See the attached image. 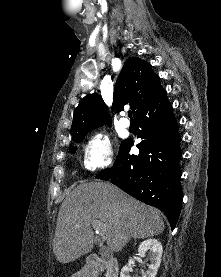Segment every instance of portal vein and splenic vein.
Listing matches in <instances>:
<instances>
[{
    "instance_id": "1",
    "label": "portal vein and splenic vein",
    "mask_w": 221,
    "mask_h": 277,
    "mask_svg": "<svg viewBox=\"0 0 221 277\" xmlns=\"http://www.w3.org/2000/svg\"><path fill=\"white\" fill-rule=\"evenodd\" d=\"M92 226L96 230V232L99 234V236L104 237L105 228L102 227L98 221L92 222Z\"/></svg>"
}]
</instances>
